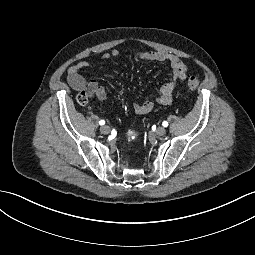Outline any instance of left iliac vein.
Instances as JSON below:
<instances>
[{
    "mask_svg": "<svg viewBox=\"0 0 255 255\" xmlns=\"http://www.w3.org/2000/svg\"><path fill=\"white\" fill-rule=\"evenodd\" d=\"M156 134L159 135V136L165 135V134H166L165 128H163V127H158L157 130H156Z\"/></svg>",
    "mask_w": 255,
    "mask_h": 255,
    "instance_id": "left-iliac-vein-1",
    "label": "left iliac vein"
}]
</instances>
